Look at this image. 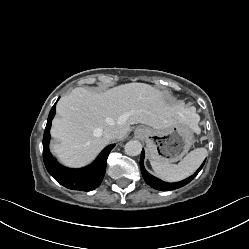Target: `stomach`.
Here are the masks:
<instances>
[{
  "label": "stomach",
  "mask_w": 249,
  "mask_h": 249,
  "mask_svg": "<svg viewBox=\"0 0 249 249\" xmlns=\"http://www.w3.org/2000/svg\"><path fill=\"white\" fill-rule=\"evenodd\" d=\"M147 144L148 157L152 161L173 163L188 153L194 142V130L190 120H179L164 130L139 127Z\"/></svg>",
  "instance_id": "0dacf381"
}]
</instances>
